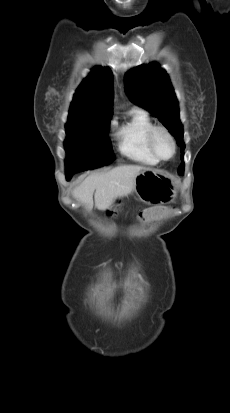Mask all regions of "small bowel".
I'll return each mask as SVG.
<instances>
[{"mask_svg": "<svg viewBox=\"0 0 230 413\" xmlns=\"http://www.w3.org/2000/svg\"><path fill=\"white\" fill-rule=\"evenodd\" d=\"M172 212L173 207L170 205H146L145 209L140 210V217L145 218L150 226L155 227L158 222L162 221V217H166ZM139 223L142 225L144 222L141 220Z\"/></svg>", "mask_w": 230, "mask_h": 413, "instance_id": "c3829d8e", "label": "small bowel"}]
</instances>
